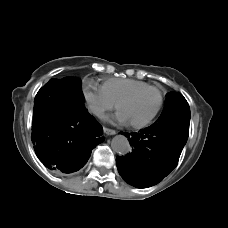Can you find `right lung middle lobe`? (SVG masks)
I'll use <instances>...</instances> for the list:
<instances>
[{"instance_id": "obj_1", "label": "right lung middle lobe", "mask_w": 228, "mask_h": 228, "mask_svg": "<svg viewBox=\"0 0 228 228\" xmlns=\"http://www.w3.org/2000/svg\"><path fill=\"white\" fill-rule=\"evenodd\" d=\"M51 84L58 86L60 94L69 102L77 101L82 97L81 80L75 77H64L61 80L51 79Z\"/></svg>"}]
</instances>
